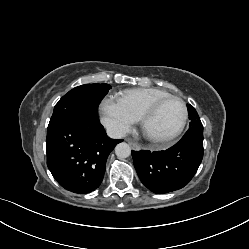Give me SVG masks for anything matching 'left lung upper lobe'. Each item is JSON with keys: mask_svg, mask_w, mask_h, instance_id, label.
<instances>
[{"mask_svg": "<svg viewBox=\"0 0 249 249\" xmlns=\"http://www.w3.org/2000/svg\"><path fill=\"white\" fill-rule=\"evenodd\" d=\"M187 108H188L189 119L191 120L189 124V129L203 130V125L199 119V116L195 108L190 104H187Z\"/></svg>", "mask_w": 249, "mask_h": 249, "instance_id": "1", "label": "left lung upper lobe"}]
</instances>
